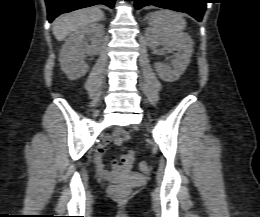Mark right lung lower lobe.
I'll return each mask as SVG.
<instances>
[{
    "label": "right lung lower lobe",
    "mask_w": 260,
    "mask_h": 217,
    "mask_svg": "<svg viewBox=\"0 0 260 217\" xmlns=\"http://www.w3.org/2000/svg\"><path fill=\"white\" fill-rule=\"evenodd\" d=\"M47 5L48 20L52 22L54 18L62 13H67L76 9L105 4L113 8L115 0H45Z\"/></svg>",
    "instance_id": "right-lung-lower-lobe-1"
}]
</instances>
